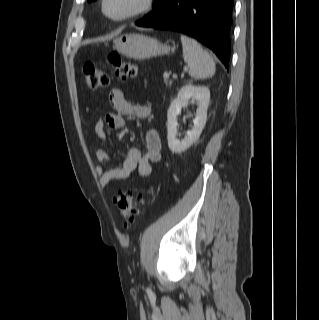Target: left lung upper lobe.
I'll use <instances>...</instances> for the list:
<instances>
[{
    "mask_svg": "<svg viewBox=\"0 0 319 320\" xmlns=\"http://www.w3.org/2000/svg\"><path fill=\"white\" fill-rule=\"evenodd\" d=\"M88 1H93V0H88ZM162 1L163 0H154L153 9L157 8L158 6H160Z\"/></svg>",
    "mask_w": 319,
    "mask_h": 320,
    "instance_id": "1",
    "label": "left lung upper lobe"
}]
</instances>
